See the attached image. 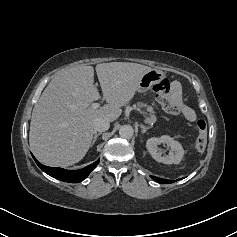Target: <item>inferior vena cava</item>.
Masks as SVG:
<instances>
[{
  "instance_id": "obj_1",
  "label": "inferior vena cava",
  "mask_w": 237,
  "mask_h": 237,
  "mask_svg": "<svg viewBox=\"0 0 237 237\" xmlns=\"http://www.w3.org/2000/svg\"><path fill=\"white\" fill-rule=\"evenodd\" d=\"M110 127V122L106 118H96L93 121V128L95 131L104 132Z\"/></svg>"
}]
</instances>
